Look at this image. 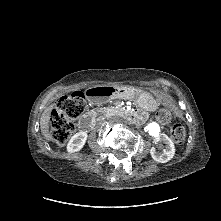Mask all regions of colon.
Returning <instances> with one entry per match:
<instances>
[{
	"label": "colon",
	"instance_id": "5ec220e1",
	"mask_svg": "<svg viewBox=\"0 0 221 221\" xmlns=\"http://www.w3.org/2000/svg\"><path fill=\"white\" fill-rule=\"evenodd\" d=\"M85 108L86 99L81 92L59 99L52 118L53 135L57 143L64 145L68 141L75 129V119L85 111ZM156 117L162 124L169 125L170 136L176 144L184 141L185 128L181 123H170L171 113L168 109H159Z\"/></svg>",
	"mask_w": 221,
	"mask_h": 221
}]
</instances>
